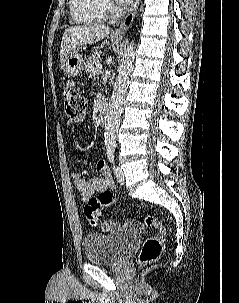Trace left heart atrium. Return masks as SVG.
Masks as SVG:
<instances>
[{
    "mask_svg": "<svg viewBox=\"0 0 239 303\" xmlns=\"http://www.w3.org/2000/svg\"><path fill=\"white\" fill-rule=\"evenodd\" d=\"M131 0H116L117 3L121 4V5H126L130 2Z\"/></svg>",
    "mask_w": 239,
    "mask_h": 303,
    "instance_id": "1",
    "label": "left heart atrium"
}]
</instances>
